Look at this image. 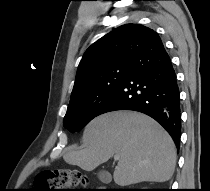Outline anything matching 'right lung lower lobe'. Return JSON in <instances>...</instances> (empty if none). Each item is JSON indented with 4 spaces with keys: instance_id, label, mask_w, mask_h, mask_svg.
<instances>
[{
    "instance_id": "98d812e1",
    "label": "right lung lower lobe",
    "mask_w": 210,
    "mask_h": 191,
    "mask_svg": "<svg viewBox=\"0 0 210 191\" xmlns=\"http://www.w3.org/2000/svg\"><path fill=\"white\" fill-rule=\"evenodd\" d=\"M115 110H134L159 122L180 146V92L176 74L158 34L137 53L128 72L99 115Z\"/></svg>"
}]
</instances>
